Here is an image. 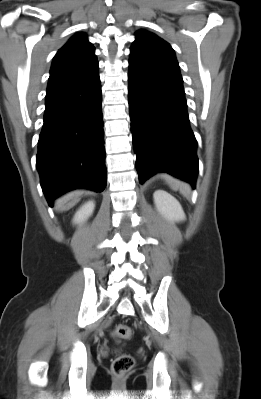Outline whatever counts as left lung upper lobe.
I'll list each match as a JSON object with an SVG mask.
<instances>
[{
	"instance_id": "1",
	"label": "left lung upper lobe",
	"mask_w": 261,
	"mask_h": 399,
	"mask_svg": "<svg viewBox=\"0 0 261 399\" xmlns=\"http://www.w3.org/2000/svg\"><path fill=\"white\" fill-rule=\"evenodd\" d=\"M131 46L129 66L157 75L182 80L174 50L155 34L140 30Z\"/></svg>"
}]
</instances>
